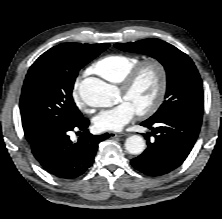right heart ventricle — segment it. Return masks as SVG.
Masks as SVG:
<instances>
[{
  "label": "right heart ventricle",
  "mask_w": 222,
  "mask_h": 219,
  "mask_svg": "<svg viewBox=\"0 0 222 219\" xmlns=\"http://www.w3.org/2000/svg\"><path fill=\"white\" fill-rule=\"evenodd\" d=\"M139 61L140 59L136 56L110 54L97 60L92 65V70L105 80L119 84Z\"/></svg>",
  "instance_id": "right-heart-ventricle-1"
}]
</instances>
